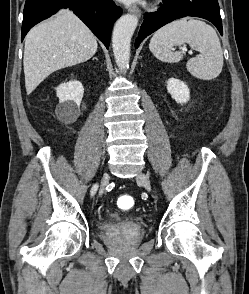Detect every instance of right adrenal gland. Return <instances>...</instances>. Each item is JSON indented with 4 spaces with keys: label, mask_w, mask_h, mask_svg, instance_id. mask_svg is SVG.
<instances>
[{
    "label": "right adrenal gland",
    "mask_w": 249,
    "mask_h": 294,
    "mask_svg": "<svg viewBox=\"0 0 249 294\" xmlns=\"http://www.w3.org/2000/svg\"><path fill=\"white\" fill-rule=\"evenodd\" d=\"M94 59L98 60L96 57H94L93 60H94Z\"/></svg>",
    "instance_id": "2a0ac1e0"
}]
</instances>
